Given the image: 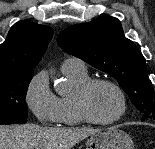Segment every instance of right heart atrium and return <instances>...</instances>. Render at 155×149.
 <instances>
[{
    "instance_id": "obj_1",
    "label": "right heart atrium",
    "mask_w": 155,
    "mask_h": 149,
    "mask_svg": "<svg viewBox=\"0 0 155 149\" xmlns=\"http://www.w3.org/2000/svg\"><path fill=\"white\" fill-rule=\"evenodd\" d=\"M25 102L41 123L58 122V97L49 87L46 72L41 71L31 79L26 89Z\"/></svg>"
}]
</instances>
